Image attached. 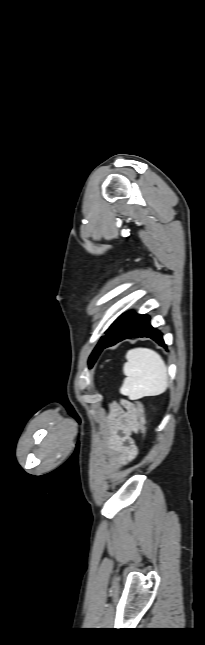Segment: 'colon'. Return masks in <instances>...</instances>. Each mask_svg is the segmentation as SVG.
Listing matches in <instances>:
<instances>
[{"instance_id": "obj_1", "label": "colon", "mask_w": 205, "mask_h": 645, "mask_svg": "<svg viewBox=\"0 0 205 645\" xmlns=\"http://www.w3.org/2000/svg\"><path fill=\"white\" fill-rule=\"evenodd\" d=\"M133 404H134V410L137 418L138 427L142 432V434L145 436L146 435V417H145L144 404L141 400H136Z\"/></svg>"}]
</instances>
